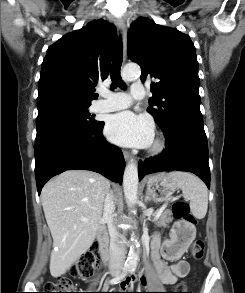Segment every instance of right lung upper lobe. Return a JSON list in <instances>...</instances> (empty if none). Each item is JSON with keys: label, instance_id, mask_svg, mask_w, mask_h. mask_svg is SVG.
<instances>
[{"label": "right lung upper lobe", "instance_id": "obj_1", "mask_svg": "<svg viewBox=\"0 0 245 293\" xmlns=\"http://www.w3.org/2000/svg\"><path fill=\"white\" fill-rule=\"evenodd\" d=\"M115 42V26L98 20L51 45L41 67L37 107L91 105L98 97L94 87L109 74Z\"/></svg>", "mask_w": 245, "mask_h": 293}]
</instances>
